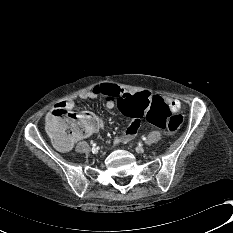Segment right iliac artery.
Listing matches in <instances>:
<instances>
[{
	"mask_svg": "<svg viewBox=\"0 0 233 233\" xmlns=\"http://www.w3.org/2000/svg\"><path fill=\"white\" fill-rule=\"evenodd\" d=\"M92 146H93V148L95 149V147H96V144L95 143H92ZM97 149V148H96Z\"/></svg>",
	"mask_w": 233,
	"mask_h": 233,
	"instance_id": "82829eb1",
	"label": "right iliac artery"
}]
</instances>
